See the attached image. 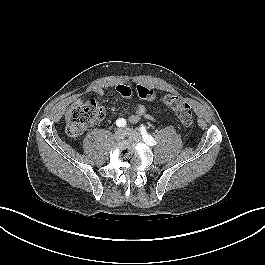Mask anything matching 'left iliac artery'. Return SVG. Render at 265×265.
<instances>
[{"label":"left iliac artery","instance_id":"1","mask_svg":"<svg viewBox=\"0 0 265 265\" xmlns=\"http://www.w3.org/2000/svg\"><path fill=\"white\" fill-rule=\"evenodd\" d=\"M140 131H141V134H142V137H143V140L144 142L149 145V146H154L157 144V142L155 141V139L149 135L145 129V127L142 125L140 127Z\"/></svg>","mask_w":265,"mask_h":265}]
</instances>
